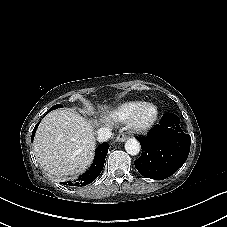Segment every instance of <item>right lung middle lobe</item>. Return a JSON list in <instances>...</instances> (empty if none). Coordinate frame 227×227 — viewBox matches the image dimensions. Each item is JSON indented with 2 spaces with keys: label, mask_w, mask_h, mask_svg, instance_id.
Listing matches in <instances>:
<instances>
[{
  "label": "right lung middle lobe",
  "mask_w": 227,
  "mask_h": 227,
  "mask_svg": "<svg viewBox=\"0 0 227 227\" xmlns=\"http://www.w3.org/2000/svg\"><path fill=\"white\" fill-rule=\"evenodd\" d=\"M60 107H63V106L61 104L54 105L47 111V113L54 110V109L60 108Z\"/></svg>",
  "instance_id": "1"
}]
</instances>
